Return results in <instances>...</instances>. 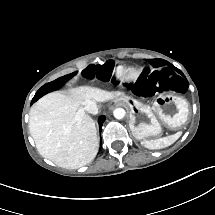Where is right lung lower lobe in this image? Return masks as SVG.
<instances>
[{
  "label": "right lung lower lobe",
  "instance_id": "right-lung-lower-lobe-1",
  "mask_svg": "<svg viewBox=\"0 0 215 215\" xmlns=\"http://www.w3.org/2000/svg\"><path fill=\"white\" fill-rule=\"evenodd\" d=\"M105 120V117L104 116H101L100 119H99V127H100V130L102 128V125H103V122Z\"/></svg>",
  "mask_w": 215,
  "mask_h": 215
}]
</instances>
